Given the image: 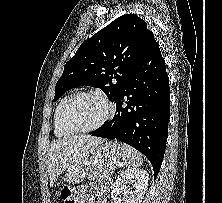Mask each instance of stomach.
I'll use <instances>...</instances> for the list:
<instances>
[{
	"label": "stomach",
	"mask_w": 222,
	"mask_h": 203,
	"mask_svg": "<svg viewBox=\"0 0 222 203\" xmlns=\"http://www.w3.org/2000/svg\"><path fill=\"white\" fill-rule=\"evenodd\" d=\"M126 155L124 146L118 141H109L90 149L80 161H75L68 168L65 181L68 184L80 183L99 162L119 160Z\"/></svg>",
	"instance_id": "0dacf381"
}]
</instances>
